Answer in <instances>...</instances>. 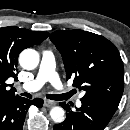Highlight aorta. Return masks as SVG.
Returning <instances> with one entry per match:
<instances>
[{
  "label": "aorta",
  "mask_w": 130,
  "mask_h": 130,
  "mask_svg": "<svg viewBox=\"0 0 130 130\" xmlns=\"http://www.w3.org/2000/svg\"><path fill=\"white\" fill-rule=\"evenodd\" d=\"M19 63L22 68L27 70L35 69L39 64V54L34 49H25L20 53ZM50 117L56 123L64 120V110L62 107L56 106L50 110Z\"/></svg>",
  "instance_id": "aorta-1"
}]
</instances>
